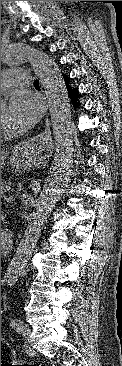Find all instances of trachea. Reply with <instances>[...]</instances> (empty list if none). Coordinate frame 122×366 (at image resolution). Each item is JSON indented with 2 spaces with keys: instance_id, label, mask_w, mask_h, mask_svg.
<instances>
[{
  "instance_id": "obj_1",
  "label": "trachea",
  "mask_w": 122,
  "mask_h": 366,
  "mask_svg": "<svg viewBox=\"0 0 122 366\" xmlns=\"http://www.w3.org/2000/svg\"><path fill=\"white\" fill-rule=\"evenodd\" d=\"M34 87H40V85H39V81H38V80H35V81H34Z\"/></svg>"
}]
</instances>
